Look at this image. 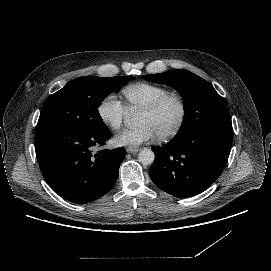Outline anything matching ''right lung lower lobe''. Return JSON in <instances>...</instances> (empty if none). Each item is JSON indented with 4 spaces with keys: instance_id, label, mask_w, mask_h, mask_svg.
Returning a JSON list of instances; mask_svg holds the SVG:
<instances>
[{
    "instance_id": "right-lung-lower-lobe-1",
    "label": "right lung lower lobe",
    "mask_w": 271,
    "mask_h": 271,
    "mask_svg": "<svg viewBox=\"0 0 271 271\" xmlns=\"http://www.w3.org/2000/svg\"><path fill=\"white\" fill-rule=\"evenodd\" d=\"M111 137L107 126L93 131L49 127L35 134V151L42 175L61 197L75 203L94 201L114 186L125 149L102 150Z\"/></svg>"
}]
</instances>
